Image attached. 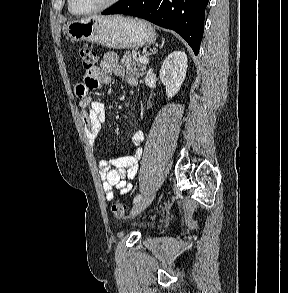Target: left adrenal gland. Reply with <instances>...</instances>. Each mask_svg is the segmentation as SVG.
I'll use <instances>...</instances> for the list:
<instances>
[{
    "mask_svg": "<svg viewBox=\"0 0 288 293\" xmlns=\"http://www.w3.org/2000/svg\"><path fill=\"white\" fill-rule=\"evenodd\" d=\"M162 47V45H160V48ZM158 50L156 48H154V50L152 51V53H156Z\"/></svg>",
    "mask_w": 288,
    "mask_h": 293,
    "instance_id": "1",
    "label": "left adrenal gland"
}]
</instances>
